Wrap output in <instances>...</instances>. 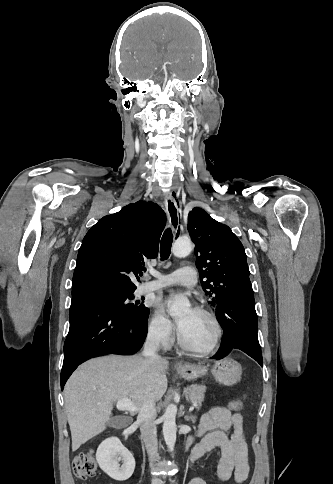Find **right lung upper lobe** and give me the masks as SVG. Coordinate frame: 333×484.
<instances>
[{
  "label": "right lung upper lobe",
  "mask_w": 333,
  "mask_h": 484,
  "mask_svg": "<svg viewBox=\"0 0 333 484\" xmlns=\"http://www.w3.org/2000/svg\"><path fill=\"white\" fill-rule=\"evenodd\" d=\"M165 213L138 201L101 218L85 235L77 256L72 295L99 290L134 292L135 277L158 255Z\"/></svg>",
  "instance_id": "cb5924a9"
}]
</instances>
